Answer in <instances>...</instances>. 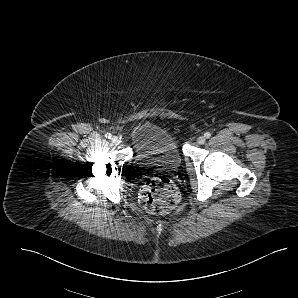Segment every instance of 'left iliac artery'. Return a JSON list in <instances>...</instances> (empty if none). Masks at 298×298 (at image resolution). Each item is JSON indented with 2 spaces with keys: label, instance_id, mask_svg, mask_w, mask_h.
Masks as SVG:
<instances>
[{
  "label": "left iliac artery",
  "instance_id": "44dca946",
  "mask_svg": "<svg viewBox=\"0 0 298 298\" xmlns=\"http://www.w3.org/2000/svg\"><path fill=\"white\" fill-rule=\"evenodd\" d=\"M204 137H205V138H210V137H211V133H210V132H206V133L204 134Z\"/></svg>",
  "mask_w": 298,
  "mask_h": 298
}]
</instances>
